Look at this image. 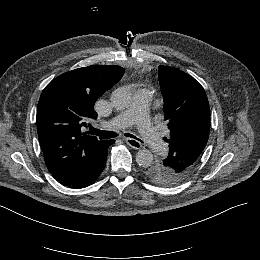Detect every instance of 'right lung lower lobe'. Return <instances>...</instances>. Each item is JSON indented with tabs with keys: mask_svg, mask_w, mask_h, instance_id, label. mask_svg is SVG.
Segmentation results:
<instances>
[{
	"mask_svg": "<svg viewBox=\"0 0 260 260\" xmlns=\"http://www.w3.org/2000/svg\"><path fill=\"white\" fill-rule=\"evenodd\" d=\"M113 142L114 140L109 141V143L105 147L104 154H102L100 158L96 159L95 161L84 167L82 171L68 174L56 180L70 188L78 189L90 186L98 179L99 175L103 171L107 160L108 147Z\"/></svg>",
	"mask_w": 260,
	"mask_h": 260,
	"instance_id": "right-lung-lower-lobe-1",
	"label": "right lung lower lobe"
}]
</instances>
